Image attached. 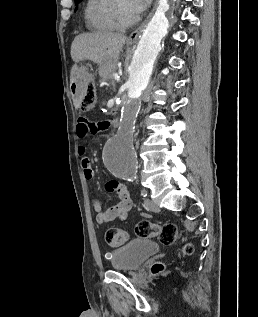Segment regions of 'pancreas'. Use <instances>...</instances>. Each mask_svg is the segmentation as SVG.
<instances>
[{
    "instance_id": "pancreas-1",
    "label": "pancreas",
    "mask_w": 258,
    "mask_h": 317,
    "mask_svg": "<svg viewBox=\"0 0 258 317\" xmlns=\"http://www.w3.org/2000/svg\"><path fill=\"white\" fill-rule=\"evenodd\" d=\"M107 82H108L109 84H111V85H110V92H111V93H116V92H117V89L119 88V85H118L117 83H115V82H116V79H115L114 77H109V78L107 79Z\"/></svg>"
}]
</instances>
